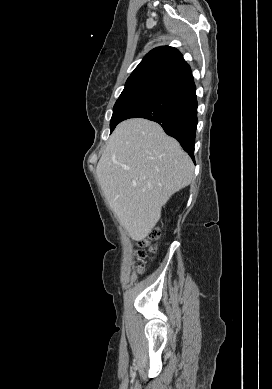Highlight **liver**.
Returning <instances> with one entry per match:
<instances>
[{"label":"liver","instance_id":"1","mask_svg":"<svg viewBox=\"0 0 272 389\" xmlns=\"http://www.w3.org/2000/svg\"><path fill=\"white\" fill-rule=\"evenodd\" d=\"M96 173L111 209L140 241L159 221L162 206L191 183L194 165L160 125L135 118L115 128Z\"/></svg>","mask_w":272,"mask_h":389}]
</instances>
